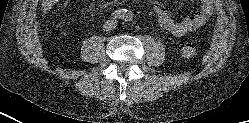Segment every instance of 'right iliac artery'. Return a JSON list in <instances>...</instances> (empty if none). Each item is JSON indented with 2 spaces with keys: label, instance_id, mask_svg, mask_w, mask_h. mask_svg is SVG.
<instances>
[{
  "label": "right iliac artery",
  "instance_id": "82829eb1",
  "mask_svg": "<svg viewBox=\"0 0 249 123\" xmlns=\"http://www.w3.org/2000/svg\"><path fill=\"white\" fill-rule=\"evenodd\" d=\"M126 13H127V10H126V9H119V10H116V11L112 14V18H113V19H124Z\"/></svg>",
  "mask_w": 249,
  "mask_h": 123
}]
</instances>
